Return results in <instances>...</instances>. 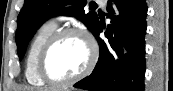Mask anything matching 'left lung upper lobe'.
Listing matches in <instances>:
<instances>
[{"label": "left lung upper lobe", "mask_w": 173, "mask_h": 91, "mask_svg": "<svg viewBox=\"0 0 173 91\" xmlns=\"http://www.w3.org/2000/svg\"><path fill=\"white\" fill-rule=\"evenodd\" d=\"M86 3V0H25L17 18L16 44L19 58L22 59L36 30L53 15L74 16L93 33L99 19L95 12L85 13Z\"/></svg>", "instance_id": "obj_1"}]
</instances>
